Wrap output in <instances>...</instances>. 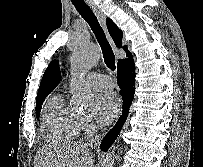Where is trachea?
Returning <instances> with one entry per match:
<instances>
[{
	"label": "trachea",
	"instance_id": "3493384b",
	"mask_svg": "<svg viewBox=\"0 0 203 167\" xmlns=\"http://www.w3.org/2000/svg\"><path fill=\"white\" fill-rule=\"evenodd\" d=\"M75 8L79 12V14L84 18V20L89 24L91 27L103 53L104 62L107 65V67L114 71L116 69L115 66V55L112 50V47L110 46L105 33L100 26L96 16L90 9L88 5L85 3H74Z\"/></svg>",
	"mask_w": 203,
	"mask_h": 167
}]
</instances>
